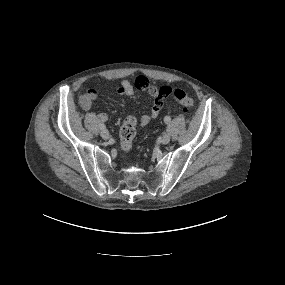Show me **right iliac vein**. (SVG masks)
<instances>
[{
  "instance_id": "right-iliac-vein-1",
  "label": "right iliac vein",
  "mask_w": 285,
  "mask_h": 285,
  "mask_svg": "<svg viewBox=\"0 0 285 285\" xmlns=\"http://www.w3.org/2000/svg\"><path fill=\"white\" fill-rule=\"evenodd\" d=\"M100 135H101V137H102L103 139H105V140H107V139L110 138V134H109V132H108L106 129L102 130V131L100 132Z\"/></svg>"
}]
</instances>
